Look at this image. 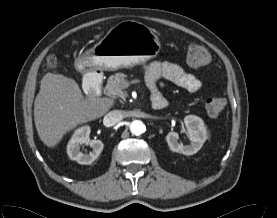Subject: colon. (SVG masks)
Returning <instances> with one entry per match:
<instances>
[{
	"label": "colon",
	"instance_id": "5ec220e1",
	"mask_svg": "<svg viewBox=\"0 0 277 218\" xmlns=\"http://www.w3.org/2000/svg\"><path fill=\"white\" fill-rule=\"evenodd\" d=\"M186 59L189 65L193 67H199L205 65L209 59V53L205 47L199 44H190L187 49ZM49 66L53 67L56 65V58L49 56L47 59ZM226 106V99L219 95H213L206 99L205 107L207 113L211 117H217L220 115Z\"/></svg>",
	"mask_w": 277,
	"mask_h": 218
}]
</instances>
